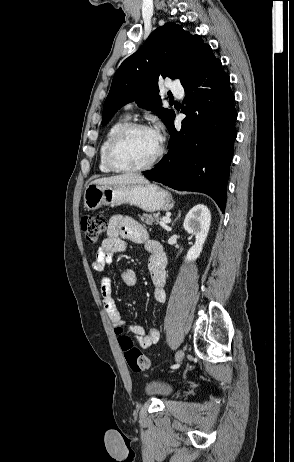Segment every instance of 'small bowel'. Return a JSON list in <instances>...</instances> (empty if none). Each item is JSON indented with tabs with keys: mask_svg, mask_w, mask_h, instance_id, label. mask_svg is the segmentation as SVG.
<instances>
[{
	"mask_svg": "<svg viewBox=\"0 0 294 462\" xmlns=\"http://www.w3.org/2000/svg\"><path fill=\"white\" fill-rule=\"evenodd\" d=\"M142 244L151 254L149 259V272L153 284V298L156 302L165 301L166 265L167 258L161 244L148 239L144 227L133 218L126 216H113L107 226V236L100 244L97 255L92 262V268L100 273L99 284L103 298V305L115 328L126 330L135 336L142 349H148L159 341L160 333L157 327L151 326L147 331L140 325L126 327L115 302L112 298V280L103 274L107 265L112 263L114 255L127 249V242ZM121 281L128 287L136 283V274L132 269H123L120 273Z\"/></svg>",
	"mask_w": 294,
	"mask_h": 462,
	"instance_id": "c3829d8e",
	"label": "small bowel"
}]
</instances>
